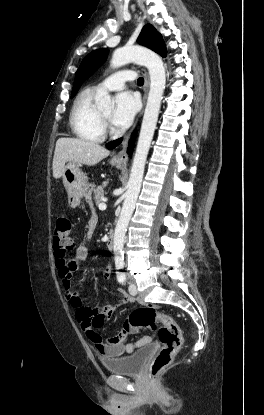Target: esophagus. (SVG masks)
Masks as SVG:
<instances>
[{
	"label": "esophagus",
	"instance_id": "34e87169",
	"mask_svg": "<svg viewBox=\"0 0 264 415\" xmlns=\"http://www.w3.org/2000/svg\"><path fill=\"white\" fill-rule=\"evenodd\" d=\"M142 74L144 76V80H145V84H144V98L143 101L145 102V95L148 89V85H149V75L146 69H142ZM141 116V113L139 115V117ZM138 119L136 120L135 124L133 125L132 129L130 130V132L128 134H126L123 138V142H122V149L120 151H118L114 156H113V161L119 162V163H123L126 164L128 162V155H127V146H128V142L130 140V137L134 131V128L136 126Z\"/></svg>",
	"mask_w": 264,
	"mask_h": 415
}]
</instances>
